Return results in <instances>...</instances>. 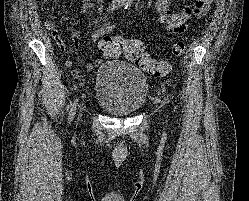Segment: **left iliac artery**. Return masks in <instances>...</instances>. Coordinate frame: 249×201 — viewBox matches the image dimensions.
Here are the masks:
<instances>
[{
    "instance_id": "obj_1",
    "label": "left iliac artery",
    "mask_w": 249,
    "mask_h": 201,
    "mask_svg": "<svg viewBox=\"0 0 249 201\" xmlns=\"http://www.w3.org/2000/svg\"><path fill=\"white\" fill-rule=\"evenodd\" d=\"M131 5V0H126V3L124 5V9L126 10Z\"/></svg>"
}]
</instances>
